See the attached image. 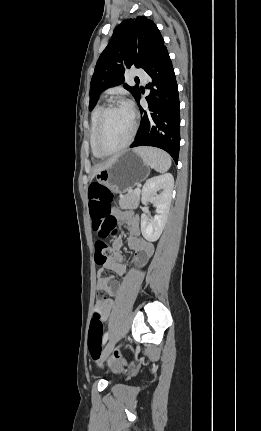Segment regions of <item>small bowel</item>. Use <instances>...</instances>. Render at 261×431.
Wrapping results in <instances>:
<instances>
[{"instance_id": "c3829d8e", "label": "small bowel", "mask_w": 261, "mask_h": 431, "mask_svg": "<svg viewBox=\"0 0 261 431\" xmlns=\"http://www.w3.org/2000/svg\"><path fill=\"white\" fill-rule=\"evenodd\" d=\"M117 218L125 222L130 231V236L127 238L128 247L135 253V263L138 266H144L148 259L153 254V245L141 237L140 220L139 217L132 214L131 212H119ZM122 242L119 239H115L112 243V249L114 256L103 265H99L100 269L97 273V289L105 294L113 297L119 292V285L112 277H104V269L111 270L119 276L125 275L127 269L124 264L122 255ZM114 304L113 299L108 298L106 301L97 305L96 308L101 316L103 322H105L111 312V308Z\"/></svg>"}]
</instances>
